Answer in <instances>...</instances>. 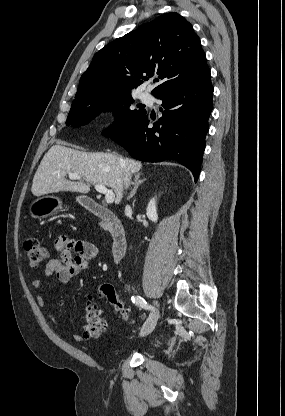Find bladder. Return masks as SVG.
<instances>
[{
  "mask_svg": "<svg viewBox=\"0 0 285 416\" xmlns=\"http://www.w3.org/2000/svg\"><path fill=\"white\" fill-rule=\"evenodd\" d=\"M138 346H140V347H145V345H144V344H139ZM127 347H130V346H128V345H127Z\"/></svg>",
  "mask_w": 285,
  "mask_h": 416,
  "instance_id": "obj_1",
  "label": "bladder"
}]
</instances>
